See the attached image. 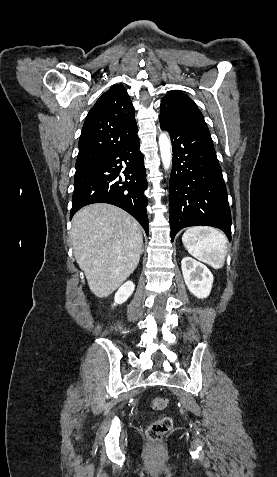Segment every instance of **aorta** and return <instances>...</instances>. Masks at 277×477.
I'll list each match as a JSON object with an SVG mask.
<instances>
[{
	"label": "aorta",
	"mask_w": 277,
	"mask_h": 477,
	"mask_svg": "<svg viewBox=\"0 0 277 477\" xmlns=\"http://www.w3.org/2000/svg\"><path fill=\"white\" fill-rule=\"evenodd\" d=\"M160 154L164 168L168 170L172 162L171 143L166 133H161L159 136Z\"/></svg>",
	"instance_id": "762f6f07"
}]
</instances>
